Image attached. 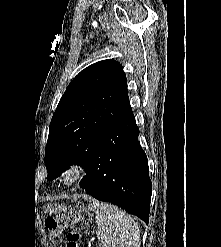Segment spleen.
Wrapping results in <instances>:
<instances>
[{"label":"spleen","mask_w":221,"mask_h":247,"mask_svg":"<svg viewBox=\"0 0 221 247\" xmlns=\"http://www.w3.org/2000/svg\"><path fill=\"white\" fill-rule=\"evenodd\" d=\"M97 238L103 247H140V232L134 219L116 206L94 203Z\"/></svg>","instance_id":"3e777b00"}]
</instances>
